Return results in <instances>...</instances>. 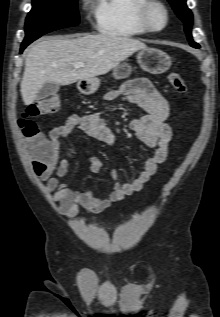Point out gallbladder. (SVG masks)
Instances as JSON below:
<instances>
[{"instance_id": "bac80fb5", "label": "gallbladder", "mask_w": 220, "mask_h": 317, "mask_svg": "<svg viewBox=\"0 0 220 317\" xmlns=\"http://www.w3.org/2000/svg\"><path fill=\"white\" fill-rule=\"evenodd\" d=\"M60 89V85L53 82H48L43 85V87L37 93L36 98L41 100L47 98L51 95H55Z\"/></svg>"}]
</instances>
